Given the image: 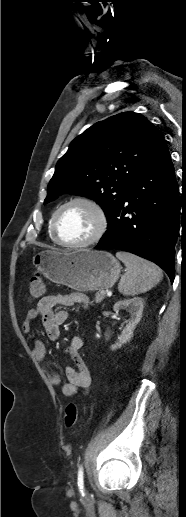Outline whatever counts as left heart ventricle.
<instances>
[{"label": "left heart ventricle", "mask_w": 186, "mask_h": 517, "mask_svg": "<svg viewBox=\"0 0 186 517\" xmlns=\"http://www.w3.org/2000/svg\"><path fill=\"white\" fill-rule=\"evenodd\" d=\"M96 228V217L92 210L82 204L65 208L58 218V234L69 243L84 241Z\"/></svg>", "instance_id": "b2bd125f"}]
</instances>
